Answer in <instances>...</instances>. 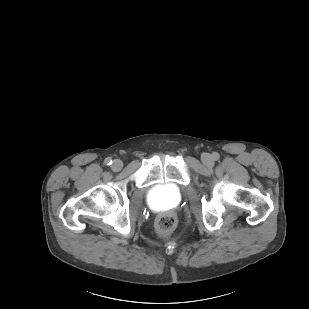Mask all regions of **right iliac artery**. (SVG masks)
Here are the masks:
<instances>
[{
    "instance_id": "1",
    "label": "right iliac artery",
    "mask_w": 309,
    "mask_h": 309,
    "mask_svg": "<svg viewBox=\"0 0 309 309\" xmlns=\"http://www.w3.org/2000/svg\"><path fill=\"white\" fill-rule=\"evenodd\" d=\"M105 164L106 165H111L112 164V160L110 158H106L105 159Z\"/></svg>"
}]
</instances>
